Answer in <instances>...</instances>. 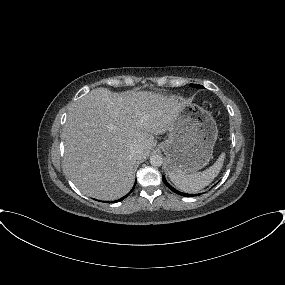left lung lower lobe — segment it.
<instances>
[{"label": "left lung lower lobe", "instance_id": "1", "mask_svg": "<svg viewBox=\"0 0 285 285\" xmlns=\"http://www.w3.org/2000/svg\"><path fill=\"white\" fill-rule=\"evenodd\" d=\"M162 180H163V182L168 186V188H170L173 192H175V193H177V194H179V195H182V196H185V197H190V196L199 195V194H187V193H182V192L176 190L175 188H173L171 185H169L164 176H162Z\"/></svg>", "mask_w": 285, "mask_h": 285}]
</instances>
